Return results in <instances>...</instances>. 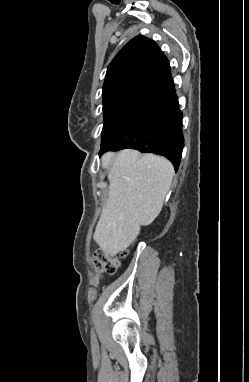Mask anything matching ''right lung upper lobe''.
Segmentation results:
<instances>
[{
	"label": "right lung upper lobe",
	"mask_w": 249,
	"mask_h": 382,
	"mask_svg": "<svg viewBox=\"0 0 249 382\" xmlns=\"http://www.w3.org/2000/svg\"><path fill=\"white\" fill-rule=\"evenodd\" d=\"M174 82L167 58L144 36L130 40L108 66L103 85V107L125 100L154 102Z\"/></svg>",
	"instance_id": "right-lung-upper-lobe-1"
}]
</instances>
